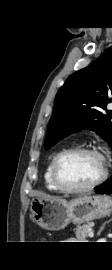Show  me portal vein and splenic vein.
Masks as SVG:
<instances>
[{"mask_svg": "<svg viewBox=\"0 0 112 270\" xmlns=\"http://www.w3.org/2000/svg\"><path fill=\"white\" fill-rule=\"evenodd\" d=\"M88 236H89V237H91V238H92V237H94V233H93V231H92V230H90V231H89Z\"/></svg>", "mask_w": 112, "mask_h": 270, "instance_id": "1", "label": "portal vein and splenic vein"}]
</instances>
